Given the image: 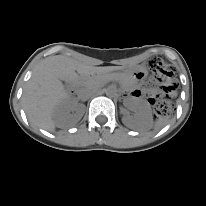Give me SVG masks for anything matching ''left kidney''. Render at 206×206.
<instances>
[{
    "instance_id": "1",
    "label": "left kidney",
    "mask_w": 206,
    "mask_h": 206,
    "mask_svg": "<svg viewBox=\"0 0 206 206\" xmlns=\"http://www.w3.org/2000/svg\"><path fill=\"white\" fill-rule=\"evenodd\" d=\"M131 109H136L138 111L135 118L130 115L124 116L123 120L127 125L137 126L142 128H151L152 127V113L151 108L147 101L143 99H135L128 103Z\"/></svg>"
}]
</instances>
